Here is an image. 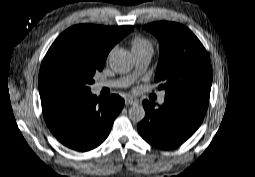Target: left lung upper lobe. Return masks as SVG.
<instances>
[{
    "label": "left lung upper lobe",
    "instance_id": "1",
    "mask_svg": "<svg viewBox=\"0 0 255 177\" xmlns=\"http://www.w3.org/2000/svg\"><path fill=\"white\" fill-rule=\"evenodd\" d=\"M144 28L160 43L155 81L164 83L159 89H165V97H209L212 68L198 38L185 26L173 22H154Z\"/></svg>",
    "mask_w": 255,
    "mask_h": 177
}]
</instances>
